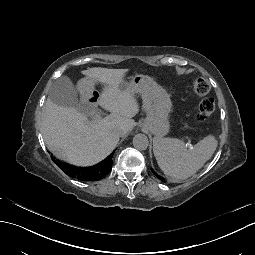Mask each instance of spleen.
<instances>
[{
    "label": "spleen",
    "instance_id": "3e777b00",
    "mask_svg": "<svg viewBox=\"0 0 255 255\" xmlns=\"http://www.w3.org/2000/svg\"><path fill=\"white\" fill-rule=\"evenodd\" d=\"M217 147L213 134L186 148L178 139H162L157 136L153 140V152L160 169L165 175L175 179H185L194 174L212 156Z\"/></svg>",
    "mask_w": 255,
    "mask_h": 255
}]
</instances>
